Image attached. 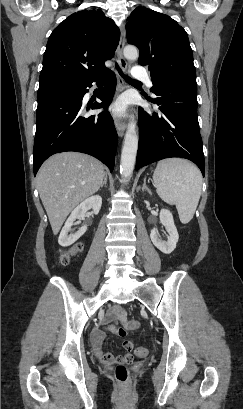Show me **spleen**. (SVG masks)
<instances>
[{"mask_svg":"<svg viewBox=\"0 0 243 409\" xmlns=\"http://www.w3.org/2000/svg\"><path fill=\"white\" fill-rule=\"evenodd\" d=\"M153 182L160 198L175 205L180 221L188 223L201 195L202 175L199 169L184 159H165L157 164Z\"/></svg>","mask_w":243,"mask_h":409,"instance_id":"spleen-1","label":"spleen"}]
</instances>
